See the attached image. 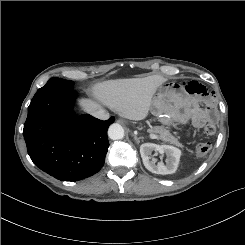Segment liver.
Instances as JSON below:
<instances>
[{
    "instance_id": "liver-1",
    "label": "liver",
    "mask_w": 245,
    "mask_h": 245,
    "mask_svg": "<svg viewBox=\"0 0 245 245\" xmlns=\"http://www.w3.org/2000/svg\"><path fill=\"white\" fill-rule=\"evenodd\" d=\"M165 82L160 75L144 78L109 80L94 86L97 100L130 120H143L148 115L152 98L157 89ZM86 112L101 108L95 101L83 99L80 102Z\"/></svg>"
}]
</instances>
